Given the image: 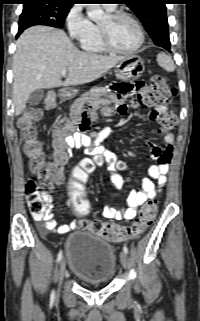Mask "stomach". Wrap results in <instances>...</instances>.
Returning <instances> with one entry per match:
<instances>
[{"label": "stomach", "instance_id": "stomach-1", "mask_svg": "<svg viewBox=\"0 0 200 321\" xmlns=\"http://www.w3.org/2000/svg\"><path fill=\"white\" fill-rule=\"evenodd\" d=\"M144 72V61L136 55L124 57L115 69L116 78L122 81H131L138 79ZM77 89L69 88L64 92V97L73 98L77 94Z\"/></svg>", "mask_w": 200, "mask_h": 321}]
</instances>
